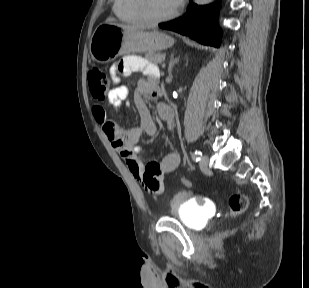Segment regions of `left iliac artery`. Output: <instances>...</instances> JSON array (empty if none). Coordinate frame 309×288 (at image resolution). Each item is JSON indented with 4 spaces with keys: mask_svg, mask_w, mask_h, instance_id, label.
Returning <instances> with one entry per match:
<instances>
[{
    "mask_svg": "<svg viewBox=\"0 0 309 288\" xmlns=\"http://www.w3.org/2000/svg\"><path fill=\"white\" fill-rule=\"evenodd\" d=\"M202 157V152L200 150H195L192 154V159L195 161H200Z\"/></svg>",
    "mask_w": 309,
    "mask_h": 288,
    "instance_id": "obj_1",
    "label": "left iliac artery"
}]
</instances>
